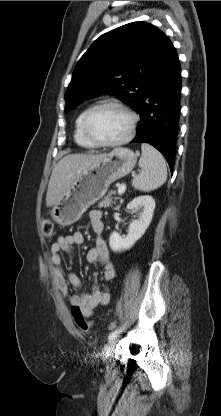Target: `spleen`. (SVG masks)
I'll list each match as a JSON object with an SVG mask.
<instances>
[{"label": "spleen", "instance_id": "3e777b00", "mask_svg": "<svg viewBox=\"0 0 221 416\" xmlns=\"http://www.w3.org/2000/svg\"><path fill=\"white\" fill-rule=\"evenodd\" d=\"M142 155L139 160L141 172L134 176L132 186L149 192L162 186L167 179V167L163 155L147 143L141 145Z\"/></svg>", "mask_w": 221, "mask_h": 416}]
</instances>
